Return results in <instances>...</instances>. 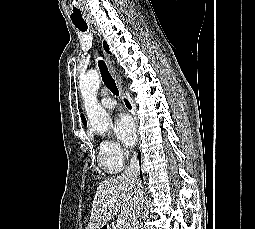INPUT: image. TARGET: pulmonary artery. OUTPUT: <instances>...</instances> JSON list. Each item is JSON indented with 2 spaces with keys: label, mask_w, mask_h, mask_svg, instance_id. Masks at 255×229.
Listing matches in <instances>:
<instances>
[{
  "label": "pulmonary artery",
  "mask_w": 255,
  "mask_h": 229,
  "mask_svg": "<svg viewBox=\"0 0 255 229\" xmlns=\"http://www.w3.org/2000/svg\"><path fill=\"white\" fill-rule=\"evenodd\" d=\"M101 105L107 109H113L116 106V101L111 97H104L101 99Z\"/></svg>",
  "instance_id": "obj_1"
}]
</instances>
